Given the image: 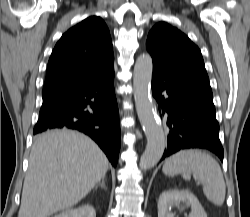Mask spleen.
Here are the masks:
<instances>
[{
  "label": "spleen",
  "mask_w": 250,
  "mask_h": 217,
  "mask_svg": "<svg viewBox=\"0 0 250 217\" xmlns=\"http://www.w3.org/2000/svg\"><path fill=\"white\" fill-rule=\"evenodd\" d=\"M162 171L168 176L179 173L192 174L203 185L206 198L216 206L225 200L226 185L218 162L201 150H182L164 162Z\"/></svg>",
  "instance_id": "1"
}]
</instances>
